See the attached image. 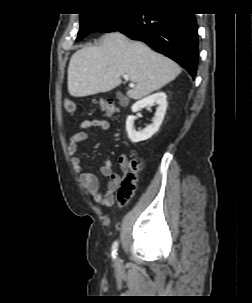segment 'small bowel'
<instances>
[{
	"mask_svg": "<svg viewBox=\"0 0 252 303\" xmlns=\"http://www.w3.org/2000/svg\"><path fill=\"white\" fill-rule=\"evenodd\" d=\"M89 129L107 131L110 129V123L105 119H86L82 121L78 129L69 138L67 152L72 168L78 174L79 181L85 190L92 196L95 202L110 206L114 202L115 192L121 181L120 175L113 172L112 162L107 159L101 163V173L110 177L106 190H101L97 178L92 173L83 169L82 162L77 156L78 146L87 140V130Z\"/></svg>",
	"mask_w": 252,
	"mask_h": 303,
	"instance_id": "c3829d8e",
	"label": "small bowel"
}]
</instances>
